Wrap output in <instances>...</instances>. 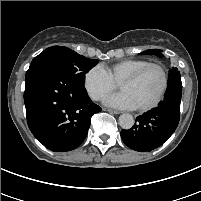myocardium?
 <instances>
[{
  "instance_id": "1",
  "label": "myocardium",
  "mask_w": 201,
  "mask_h": 201,
  "mask_svg": "<svg viewBox=\"0 0 201 201\" xmlns=\"http://www.w3.org/2000/svg\"><path fill=\"white\" fill-rule=\"evenodd\" d=\"M150 68H157L160 71V73L162 75V79H163L162 86H161V89H160L158 95L156 96V98L153 101H151L148 104L136 107V109L139 111H148V110L156 107L162 101L163 97L165 96L168 86H169V75H168V72H167V69L165 68V66L160 63H148L145 66L137 69L130 75L126 76L119 83V87H121L124 84L132 83V82L136 81L145 71H147Z\"/></svg>"
}]
</instances>
